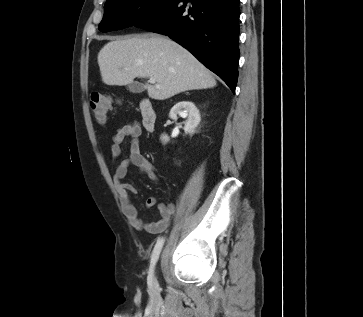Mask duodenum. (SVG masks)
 Listing matches in <instances>:
<instances>
[{
    "label": "duodenum",
    "instance_id": "1",
    "mask_svg": "<svg viewBox=\"0 0 363 317\" xmlns=\"http://www.w3.org/2000/svg\"><path fill=\"white\" fill-rule=\"evenodd\" d=\"M140 112L142 116V123L147 131L153 132L156 128V112L149 100H143L140 103Z\"/></svg>",
    "mask_w": 363,
    "mask_h": 317
}]
</instances>
